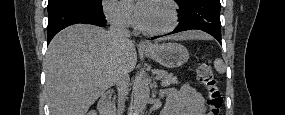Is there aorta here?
I'll use <instances>...</instances> for the list:
<instances>
[{
  "mask_svg": "<svg viewBox=\"0 0 285 115\" xmlns=\"http://www.w3.org/2000/svg\"><path fill=\"white\" fill-rule=\"evenodd\" d=\"M150 95L148 83L139 78L135 84L133 108L135 112H141L145 109Z\"/></svg>",
  "mask_w": 285,
  "mask_h": 115,
  "instance_id": "obj_1",
  "label": "aorta"
}]
</instances>
